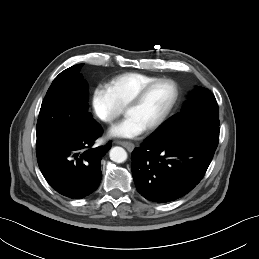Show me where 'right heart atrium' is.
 Wrapping results in <instances>:
<instances>
[{
    "instance_id": "right-heart-atrium-1",
    "label": "right heart atrium",
    "mask_w": 259,
    "mask_h": 259,
    "mask_svg": "<svg viewBox=\"0 0 259 259\" xmlns=\"http://www.w3.org/2000/svg\"><path fill=\"white\" fill-rule=\"evenodd\" d=\"M92 109L95 116L104 123H112L122 113L105 86L95 87L92 93Z\"/></svg>"
}]
</instances>
